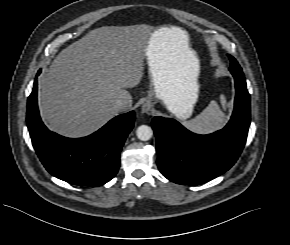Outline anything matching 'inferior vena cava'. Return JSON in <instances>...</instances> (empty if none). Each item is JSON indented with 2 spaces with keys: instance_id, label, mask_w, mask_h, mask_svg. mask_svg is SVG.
Here are the masks:
<instances>
[{
  "instance_id": "602c4592",
  "label": "inferior vena cava",
  "mask_w": 290,
  "mask_h": 245,
  "mask_svg": "<svg viewBox=\"0 0 290 245\" xmlns=\"http://www.w3.org/2000/svg\"><path fill=\"white\" fill-rule=\"evenodd\" d=\"M126 107V103L121 99L116 100V102L114 103V108L119 112L125 110Z\"/></svg>"
}]
</instances>
